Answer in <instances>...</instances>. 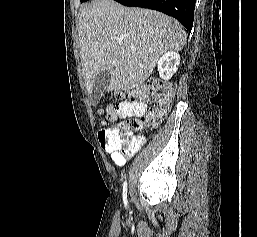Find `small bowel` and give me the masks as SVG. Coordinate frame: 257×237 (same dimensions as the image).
<instances>
[{
  "instance_id": "1",
  "label": "small bowel",
  "mask_w": 257,
  "mask_h": 237,
  "mask_svg": "<svg viewBox=\"0 0 257 237\" xmlns=\"http://www.w3.org/2000/svg\"><path fill=\"white\" fill-rule=\"evenodd\" d=\"M146 111V104L140 101H122L114 107L108 109V118L111 121L124 119L128 117H140ZM145 143L143 136H134L131 141L126 142L124 145L110 148L104 146L105 150L111 155L114 163L117 166L125 164L126 160L131 158Z\"/></svg>"
}]
</instances>
